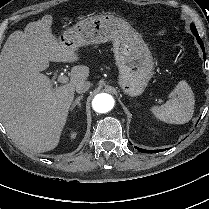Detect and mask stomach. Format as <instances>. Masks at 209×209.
Masks as SVG:
<instances>
[{"instance_id":"1","label":"stomach","mask_w":209,"mask_h":209,"mask_svg":"<svg viewBox=\"0 0 209 209\" xmlns=\"http://www.w3.org/2000/svg\"><path fill=\"white\" fill-rule=\"evenodd\" d=\"M58 39L60 44L75 51L89 44L112 41L119 69L118 83L128 95L142 94L153 76V57L141 34L113 14L89 16L65 29Z\"/></svg>"}]
</instances>
